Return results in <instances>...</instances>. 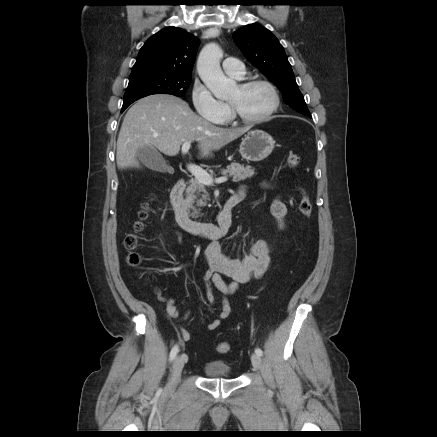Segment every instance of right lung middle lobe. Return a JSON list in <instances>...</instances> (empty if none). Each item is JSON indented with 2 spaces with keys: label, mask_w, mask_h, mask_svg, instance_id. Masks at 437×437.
I'll use <instances>...</instances> for the list:
<instances>
[{
  "label": "right lung middle lobe",
  "mask_w": 437,
  "mask_h": 437,
  "mask_svg": "<svg viewBox=\"0 0 437 437\" xmlns=\"http://www.w3.org/2000/svg\"><path fill=\"white\" fill-rule=\"evenodd\" d=\"M191 79V75H171L155 70L132 71L121 111L123 112L134 101L152 94L184 96Z\"/></svg>",
  "instance_id": "1"
}]
</instances>
